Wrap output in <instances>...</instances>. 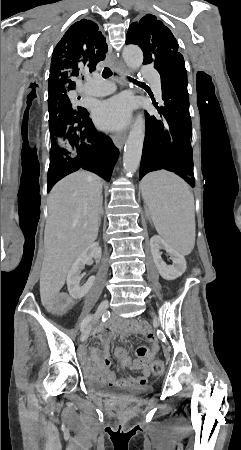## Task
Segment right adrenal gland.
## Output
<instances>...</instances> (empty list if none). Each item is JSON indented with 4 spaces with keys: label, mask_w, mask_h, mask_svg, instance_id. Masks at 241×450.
I'll list each match as a JSON object with an SVG mask.
<instances>
[{
    "label": "right adrenal gland",
    "mask_w": 241,
    "mask_h": 450,
    "mask_svg": "<svg viewBox=\"0 0 241 450\" xmlns=\"http://www.w3.org/2000/svg\"><path fill=\"white\" fill-rule=\"evenodd\" d=\"M102 214H103V212H102ZM100 224H101V216H99L98 226H100Z\"/></svg>",
    "instance_id": "1"
}]
</instances>
